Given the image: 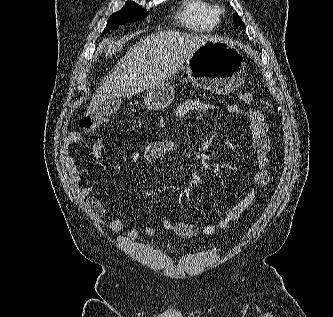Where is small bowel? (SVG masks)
I'll list each match as a JSON object with an SVG mask.
<instances>
[{"mask_svg":"<svg viewBox=\"0 0 333 317\" xmlns=\"http://www.w3.org/2000/svg\"><path fill=\"white\" fill-rule=\"evenodd\" d=\"M217 107L207 101L201 99H187L180 103L175 110V116L178 119L185 118L192 112H211L216 110ZM227 110L233 115H245L249 119V129L251 133V142L254 151L256 152V170L253 175V186L249 187L244 196L235 202L228 212L218 219L215 223L203 226L200 232L204 235H211L216 230L227 229L228 226L238 220L241 215L246 211L257 196V188L264 187L269 184L271 175L269 171L270 165V139L268 135V125L264 114L257 110H243L238 105H229ZM82 139L78 132L68 134L64 143V159L68 174L77 190L78 194L86 201L89 211L96 218H102L105 213V207L99 200L90 184H84L80 177V172L76 165L75 157L72 153L73 146ZM176 147L173 140L163 139L148 144L143 151H133L129 155L131 162H144L152 164L172 152ZM104 149V139H98L93 146V156L98 159L101 157ZM163 227L166 230L173 231L183 238L194 237L199 229L195 224L177 221L172 218H167L163 221ZM109 229L113 233H120L123 229V221L121 218L112 220L109 224ZM157 229L153 225H148L145 228V233L149 236L154 235ZM138 235V229L132 227L128 229L124 236L129 239H134Z\"/></svg>","mask_w":333,"mask_h":317,"instance_id":"small-bowel-1","label":"small bowel"}]
</instances>
